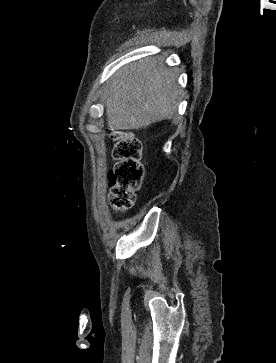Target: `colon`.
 <instances>
[{
    "mask_svg": "<svg viewBox=\"0 0 276 363\" xmlns=\"http://www.w3.org/2000/svg\"><path fill=\"white\" fill-rule=\"evenodd\" d=\"M110 137L115 141V164L108 174L109 203L115 211L123 212L134 205L136 191L142 183V146L138 139L123 131L113 130Z\"/></svg>",
    "mask_w": 276,
    "mask_h": 363,
    "instance_id": "colon-1",
    "label": "colon"
}]
</instances>
